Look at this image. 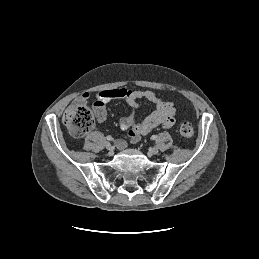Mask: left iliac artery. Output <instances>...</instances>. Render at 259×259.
I'll use <instances>...</instances> for the list:
<instances>
[{"label":"left iliac artery","mask_w":259,"mask_h":259,"mask_svg":"<svg viewBox=\"0 0 259 259\" xmlns=\"http://www.w3.org/2000/svg\"><path fill=\"white\" fill-rule=\"evenodd\" d=\"M151 139H152V140H156V139H157V136H156V135H152V136H151Z\"/></svg>","instance_id":"1"}]
</instances>
